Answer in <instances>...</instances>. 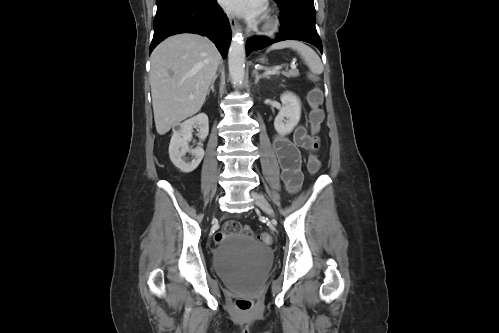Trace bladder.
<instances>
[{
  "mask_svg": "<svg viewBox=\"0 0 499 333\" xmlns=\"http://www.w3.org/2000/svg\"><path fill=\"white\" fill-rule=\"evenodd\" d=\"M273 260L272 248L253 237L227 236L213 253L216 273L231 287L245 292L267 275Z\"/></svg>",
  "mask_w": 499,
  "mask_h": 333,
  "instance_id": "31cf9c89",
  "label": "bladder"
}]
</instances>
